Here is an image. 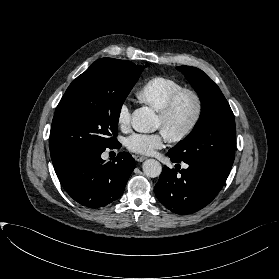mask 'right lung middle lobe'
<instances>
[{
	"instance_id": "right-lung-middle-lobe-1",
	"label": "right lung middle lobe",
	"mask_w": 279,
	"mask_h": 279,
	"mask_svg": "<svg viewBox=\"0 0 279 279\" xmlns=\"http://www.w3.org/2000/svg\"><path fill=\"white\" fill-rule=\"evenodd\" d=\"M143 68L127 60L102 58L70 84L52 121V162L117 143L122 104Z\"/></svg>"
}]
</instances>
